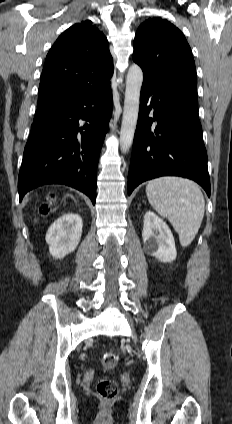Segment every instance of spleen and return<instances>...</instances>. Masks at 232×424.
Returning <instances> with one entry per match:
<instances>
[{
	"mask_svg": "<svg viewBox=\"0 0 232 424\" xmlns=\"http://www.w3.org/2000/svg\"><path fill=\"white\" fill-rule=\"evenodd\" d=\"M146 195L155 211L170 221L182 247L190 245L205 211L204 197L198 185L182 177H160L147 184Z\"/></svg>",
	"mask_w": 232,
	"mask_h": 424,
	"instance_id": "obj_1",
	"label": "spleen"
}]
</instances>
